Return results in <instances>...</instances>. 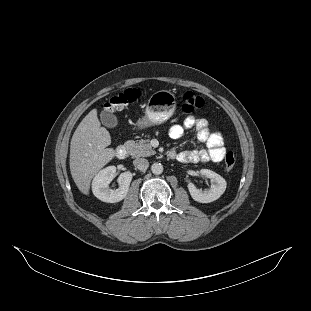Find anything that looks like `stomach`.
<instances>
[{"mask_svg": "<svg viewBox=\"0 0 311 311\" xmlns=\"http://www.w3.org/2000/svg\"><path fill=\"white\" fill-rule=\"evenodd\" d=\"M176 105V97L171 91L155 92L148 99L145 115L137 121L135 128L144 129L166 122L173 116Z\"/></svg>", "mask_w": 311, "mask_h": 311, "instance_id": "1", "label": "stomach"}]
</instances>
